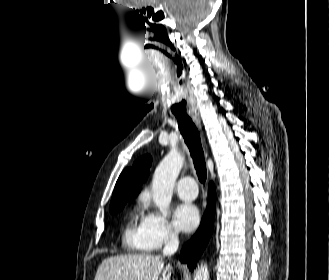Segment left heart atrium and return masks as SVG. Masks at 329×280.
<instances>
[{"instance_id": "39dd6f15", "label": "left heart atrium", "mask_w": 329, "mask_h": 280, "mask_svg": "<svg viewBox=\"0 0 329 280\" xmlns=\"http://www.w3.org/2000/svg\"><path fill=\"white\" fill-rule=\"evenodd\" d=\"M174 220L180 230L184 232H191L198 226L200 214L195 205L190 203H181L174 211Z\"/></svg>"}]
</instances>
